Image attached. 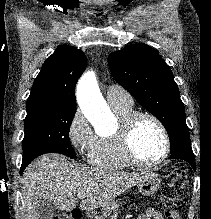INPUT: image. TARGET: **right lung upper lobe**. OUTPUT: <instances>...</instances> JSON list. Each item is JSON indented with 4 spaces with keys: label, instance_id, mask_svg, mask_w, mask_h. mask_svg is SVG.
Instances as JSON below:
<instances>
[{
    "label": "right lung upper lobe",
    "instance_id": "1",
    "mask_svg": "<svg viewBox=\"0 0 211 219\" xmlns=\"http://www.w3.org/2000/svg\"><path fill=\"white\" fill-rule=\"evenodd\" d=\"M86 64V56L81 50L60 45L43 64L27 103L48 102L58 107L76 109L75 85Z\"/></svg>",
    "mask_w": 211,
    "mask_h": 219
}]
</instances>
